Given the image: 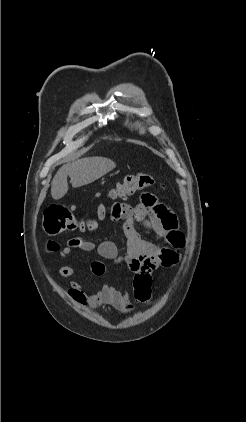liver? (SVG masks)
<instances>
[{
  "label": "liver",
  "instance_id": "liver-1",
  "mask_svg": "<svg viewBox=\"0 0 246 422\" xmlns=\"http://www.w3.org/2000/svg\"><path fill=\"white\" fill-rule=\"evenodd\" d=\"M116 164L103 157H88L62 166L51 184L52 198L58 200L68 191L67 176L74 188L90 184L115 168Z\"/></svg>",
  "mask_w": 246,
  "mask_h": 422
}]
</instances>
